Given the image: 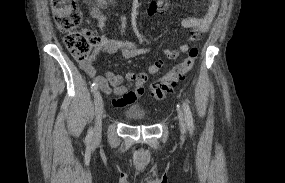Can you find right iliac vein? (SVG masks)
I'll return each instance as SVG.
<instances>
[{
	"label": "right iliac vein",
	"mask_w": 285,
	"mask_h": 183,
	"mask_svg": "<svg viewBox=\"0 0 285 183\" xmlns=\"http://www.w3.org/2000/svg\"><path fill=\"white\" fill-rule=\"evenodd\" d=\"M94 103H95V125L93 136L95 139L101 136L102 129V118L104 112V102L99 92H95L94 94Z\"/></svg>",
	"instance_id": "1"
}]
</instances>
